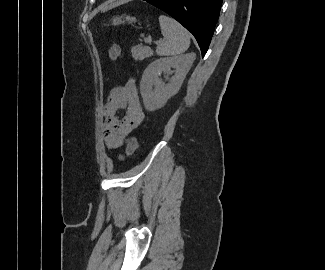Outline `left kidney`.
Wrapping results in <instances>:
<instances>
[{
  "instance_id": "left-kidney-1",
  "label": "left kidney",
  "mask_w": 325,
  "mask_h": 270,
  "mask_svg": "<svg viewBox=\"0 0 325 270\" xmlns=\"http://www.w3.org/2000/svg\"><path fill=\"white\" fill-rule=\"evenodd\" d=\"M194 60L195 54L188 53L160 58L148 65L140 82V93L146 110L155 111L164 107L168 99L177 94ZM161 73H174V76L164 84L159 79Z\"/></svg>"
}]
</instances>
